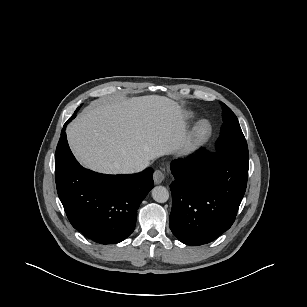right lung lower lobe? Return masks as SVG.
Instances as JSON below:
<instances>
[{
	"instance_id": "right-lung-lower-lobe-1",
	"label": "right lung lower lobe",
	"mask_w": 307,
	"mask_h": 307,
	"mask_svg": "<svg viewBox=\"0 0 307 307\" xmlns=\"http://www.w3.org/2000/svg\"><path fill=\"white\" fill-rule=\"evenodd\" d=\"M64 124L55 153V180L59 199L72 226L87 238L119 243L136 225L137 210L153 188V170L106 175L83 168L73 156Z\"/></svg>"
}]
</instances>
